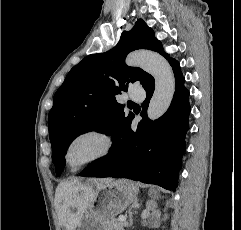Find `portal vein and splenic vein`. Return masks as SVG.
<instances>
[{
	"label": "portal vein and splenic vein",
	"mask_w": 241,
	"mask_h": 230,
	"mask_svg": "<svg viewBox=\"0 0 241 230\" xmlns=\"http://www.w3.org/2000/svg\"><path fill=\"white\" fill-rule=\"evenodd\" d=\"M118 220L121 221V222H125V221H126V218L123 217V216H120V217L118 218Z\"/></svg>",
	"instance_id": "obj_1"
}]
</instances>
